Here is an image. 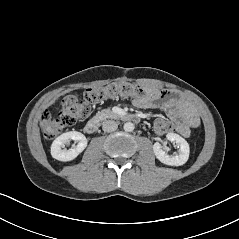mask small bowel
Segmentation results:
<instances>
[{"label":"small bowel","mask_w":239,"mask_h":239,"mask_svg":"<svg viewBox=\"0 0 239 239\" xmlns=\"http://www.w3.org/2000/svg\"><path fill=\"white\" fill-rule=\"evenodd\" d=\"M145 97H135L133 105L141 109H162L170 120L171 132L182 137H188L193 128L198 127L200 121L196 109L186 100L177 96L171 90L147 88Z\"/></svg>","instance_id":"obj_1"}]
</instances>
